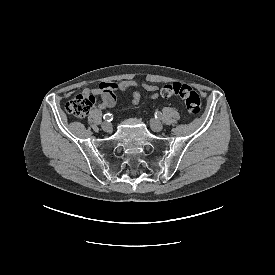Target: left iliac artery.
<instances>
[{"label": "left iliac artery", "mask_w": 275, "mask_h": 275, "mask_svg": "<svg viewBox=\"0 0 275 275\" xmlns=\"http://www.w3.org/2000/svg\"><path fill=\"white\" fill-rule=\"evenodd\" d=\"M155 117L158 118V119H161L162 118V114L160 112H156L155 113Z\"/></svg>", "instance_id": "44dca946"}]
</instances>
